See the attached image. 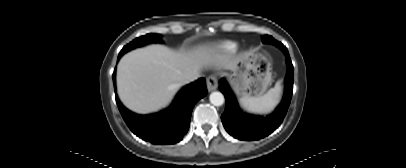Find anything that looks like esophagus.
I'll use <instances>...</instances> for the list:
<instances>
[{
	"label": "esophagus",
	"mask_w": 406,
	"mask_h": 168,
	"mask_svg": "<svg viewBox=\"0 0 406 168\" xmlns=\"http://www.w3.org/2000/svg\"><path fill=\"white\" fill-rule=\"evenodd\" d=\"M206 82H207V90L209 92L217 89L218 81H217V78L215 76H213V75L209 76L207 78Z\"/></svg>",
	"instance_id": "1"
}]
</instances>
